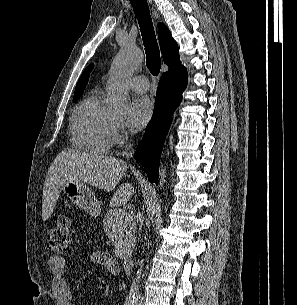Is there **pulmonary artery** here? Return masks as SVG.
<instances>
[{
  "instance_id": "e3ab8cb5",
  "label": "pulmonary artery",
  "mask_w": 297,
  "mask_h": 305,
  "mask_svg": "<svg viewBox=\"0 0 297 305\" xmlns=\"http://www.w3.org/2000/svg\"><path fill=\"white\" fill-rule=\"evenodd\" d=\"M129 86L138 93H146L149 90L148 79L143 75L134 76L129 81Z\"/></svg>"
}]
</instances>
